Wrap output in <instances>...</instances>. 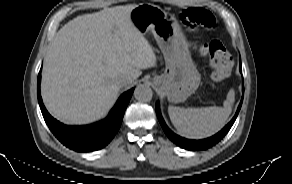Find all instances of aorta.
Listing matches in <instances>:
<instances>
[{
  "label": "aorta",
  "instance_id": "obj_1",
  "mask_svg": "<svg viewBox=\"0 0 292 184\" xmlns=\"http://www.w3.org/2000/svg\"><path fill=\"white\" fill-rule=\"evenodd\" d=\"M134 97L140 102H149L152 100L153 91L149 86L140 84L134 90Z\"/></svg>",
  "mask_w": 292,
  "mask_h": 184
}]
</instances>
